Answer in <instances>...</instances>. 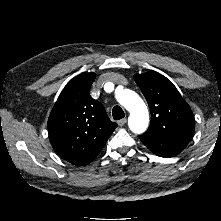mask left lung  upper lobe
<instances>
[{
  "mask_svg": "<svg viewBox=\"0 0 221 221\" xmlns=\"http://www.w3.org/2000/svg\"><path fill=\"white\" fill-rule=\"evenodd\" d=\"M134 80L150 107L151 124L147 132L190 139L195 128L194 116L174 84L155 71L137 74Z\"/></svg>",
  "mask_w": 221,
  "mask_h": 221,
  "instance_id": "left-lung-upper-lobe-1",
  "label": "left lung upper lobe"
}]
</instances>
